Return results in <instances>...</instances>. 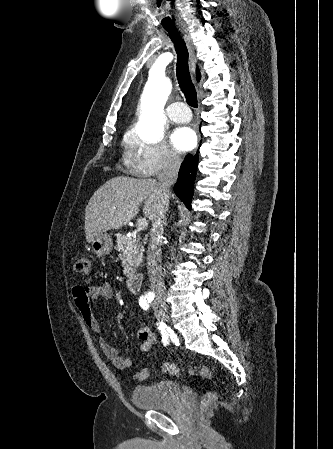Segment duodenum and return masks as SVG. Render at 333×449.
Wrapping results in <instances>:
<instances>
[{
  "label": "duodenum",
  "instance_id": "410a0bca",
  "mask_svg": "<svg viewBox=\"0 0 333 449\" xmlns=\"http://www.w3.org/2000/svg\"><path fill=\"white\" fill-rule=\"evenodd\" d=\"M142 274L132 273L126 279V288L131 293H138L142 286Z\"/></svg>",
  "mask_w": 333,
  "mask_h": 449
}]
</instances>
